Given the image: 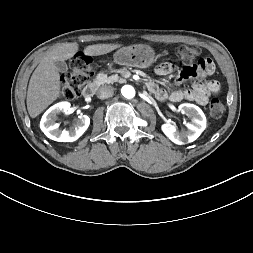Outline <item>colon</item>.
Instances as JSON below:
<instances>
[{
	"mask_svg": "<svg viewBox=\"0 0 253 253\" xmlns=\"http://www.w3.org/2000/svg\"><path fill=\"white\" fill-rule=\"evenodd\" d=\"M198 55L199 49L193 46H181L176 52L177 59L182 65L189 64L190 61L198 57ZM92 74L93 72L90 59L83 54L76 55L70 62L69 72L61 79V98L65 100H73L77 98L83 87L92 77ZM208 108L209 113L213 118H220L225 111L223 102L218 98L212 99Z\"/></svg>",
	"mask_w": 253,
	"mask_h": 253,
	"instance_id": "colon-1",
	"label": "colon"
}]
</instances>
